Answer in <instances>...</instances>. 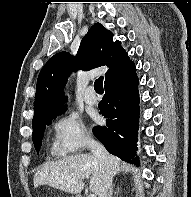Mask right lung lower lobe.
<instances>
[{"label":"right lung lower lobe","mask_w":191,"mask_h":197,"mask_svg":"<svg viewBox=\"0 0 191 197\" xmlns=\"http://www.w3.org/2000/svg\"><path fill=\"white\" fill-rule=\"evenodd\" d=\"M138 77L135 66L105 83V95L98 107L106 126H96L94 135L113 155L139 165L136 142L139 118Z\"/></svg>","instance_id":"98d812e1"}]
</instances>
